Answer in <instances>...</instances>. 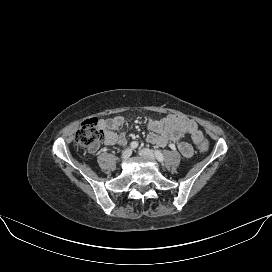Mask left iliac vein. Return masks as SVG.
I'll return each mask as SVG.
<instances>
[{
  "label": "left iliac vein",
  "instance_id": "obj_1",
  "mask_svg": "<svg viewBox=\"0 0 272 272\" xmlns=\"http://www.w3.org/2000/svg\"><path fill=\"white\" fill-rule=\"evenodd\" d=\"M139 154L144 157V158H148V159H151V160H154L155 156H154V153L150 150V149H147V148H143L139 151Z\"/></svg>",
  "mask_w": 272,
  "mask_h": 272
}]
</instances>
